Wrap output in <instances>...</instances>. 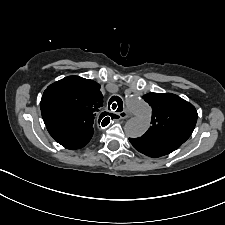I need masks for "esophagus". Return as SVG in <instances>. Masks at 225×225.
<instances>
[{
    "mask_svg": "<svg viewBox=\"0 0 225 225\" xmlns=\"http://www.w3.org/2000/svg\"><path fill=\"white\" fill-rule=\"evenodd\" d=\"M129 117L128 113L126 111L121 112L120 114H117L115 116V119H120V120H124L127 119Z\"/></svg>",
    "mask_w": 225,
    "mask_h": 225,
    "instance_id": "34e87169",
    "label": "esophagus"
}]
</instances>
